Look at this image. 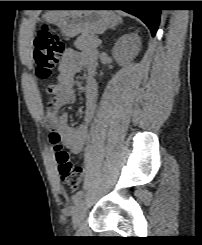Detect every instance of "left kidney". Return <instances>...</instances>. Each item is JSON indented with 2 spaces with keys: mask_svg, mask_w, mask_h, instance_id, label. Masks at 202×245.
Instances as JSON below:
<instances>
[{
  "mask_svg": "<svg viewBox=\"0 0 202 245\" xmlns=\"http://www.w3.org/2000/svg\"><path fill=\"white\" fill-rule=\"evenodd\" d=\"M141 48V39L137 33L125 34L115 43L112 54L116 61L124 65L135 58Z\"/></svg>",
  "mask_w": 202,
  "mask_h": 245,
  "instance_id": "left-kidney-1",
  "label": "left kidney"
}]
</instances>
